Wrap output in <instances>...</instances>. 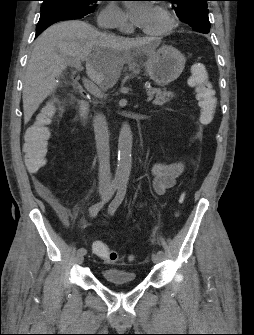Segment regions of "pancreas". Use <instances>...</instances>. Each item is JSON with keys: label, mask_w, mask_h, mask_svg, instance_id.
I'll return each mask as SVG.
<instances>
[{"label": "pancreas", "mask_w": 254, "mask_h": 335, "mask_svg": "<svg viewBox=\"0 0 254 335\" xmlns=\"http://www.w3.org/2000/svg\"><path fill=\"white\" fill-rule=\"evenodd\" d=\"M148 95L155 96L153 104L157 106H162L169 102L173 98V92L167 91L166 89L151 88L148 91Z\"/></svg>", "instance_id": "cf45deb5"}]
</instances>
